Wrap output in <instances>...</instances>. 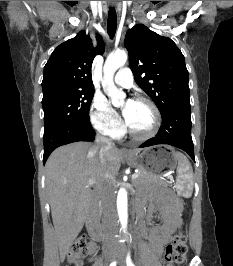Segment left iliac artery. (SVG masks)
I'll return each mask as SVG.
<instances>
[{
	"label": "left iliac artery",
	"instance_id": "1",
	"mask_svg": "<svg viewBox=\"0 0 233 266\" xmlns=\"http://www.w3.org/2000/svg\"><path fill=\"white\" fill-rule=\"evenodd\" d=\"M127 266H135L133 262L131 261L130 255L128 254L126 259Z\"/></svg>",
	"mask_w": 233,
	"mask_h": 266
}]
</instances>
